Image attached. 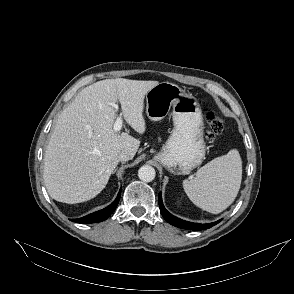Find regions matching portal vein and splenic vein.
Returning <instances> with one entry per match:
<instances>
[{
  "label": "portal vein and splenic vein",
  "instance_id": "portal-vein-and-splenic-vein-1",
  "mask_svg": "<svg viewBox=\"0 0 294 294\" xmlns=\"http://www.w3.org/2000/svg\"><path fill=\"white\" fill-rule=\"evenodd\" d=\"M113 107L117 110L118 109V105L117 104H113ZM122 124H123V120L121 117H118L113 125V129L116 132H119L122 128Z\"/></svg>",
  "mask_w": 294,
  "mask_h": 294
}]
</instances>
